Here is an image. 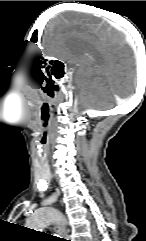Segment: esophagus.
Segmentation results:
<instances>
[{"instance_id":"esophagus-1","label":"esophagus","mask_w":146,"mask_h":241,"mask_svg":"<svg viewBox=\"0 0 146 241\" xmlns=\"http://www.w3.org/2000/svg\"><path fill=\"white\" fill-rule=\"evenodd\" d=\"M56 231L65 241H70V238L67 235L66 230L63 226H58L56 228Z\"/></svg>"}]
</instances>
